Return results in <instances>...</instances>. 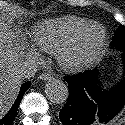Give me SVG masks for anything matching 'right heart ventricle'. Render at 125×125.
Segmentation results:
<instances>
[{
	"label": "right heart ventricle",
	"mask_w": 125,
	"mask_h": 125,
	"mask_svg": "<svg viewBox=\"0 0 125 125\" xmlns=\"http://www.w3.org/2000/svg\"><path fill=\"white\" fill-rule=\"evenodd\" d=\"M88 23L91 22L75 16L39 23L33 29V44L40 52L57 53L69 38Z\"/></svg>",
	"instance_id": "obj_1"
}]
</instances>
